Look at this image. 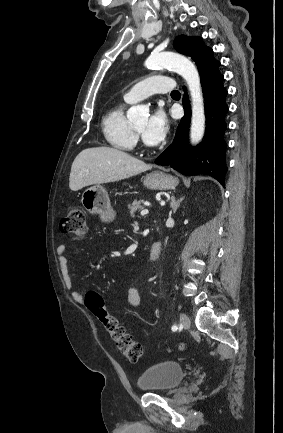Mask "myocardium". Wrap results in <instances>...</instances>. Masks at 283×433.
<instances>
[{"mask_svg": "<svg viewBox=\"0 0 283 433\" xmlns=\"http://www.w3.org/2000/svg\"><path fill=\"white\" fill-rule=\"evenodd\" d=\"M133 128H134V132L138 135L140 132L135 127Z\"/></svg>", "mask_w": 283, "mask_h": 433, "instance_id": "myocardium-1", "label": "myocardium"}]
</instances>
